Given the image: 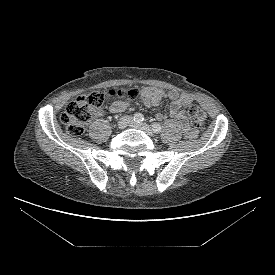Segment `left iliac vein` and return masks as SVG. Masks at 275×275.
Instances as JSON below:
<instances>
[{
	"label": "left iliac vein",
	"mask_w": 275,
	"mask_h": 275,
	"mask_svg": "<svg viewBox=\"0 0 275 275\" xmlns=\"http://www.w3.org/2000/svg\"><path fill=\"white\" fill-rule=\"evenodd\" d=\"M130 126L133 127V128L140 129V130L144 131L146 134H148L151 137L155 136L152 128L146 123L132 122L130 124Z\"/></svg>",
	"instance_id": "obj_1"
}]
</instances>
